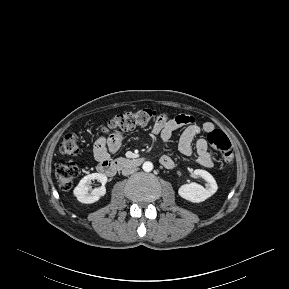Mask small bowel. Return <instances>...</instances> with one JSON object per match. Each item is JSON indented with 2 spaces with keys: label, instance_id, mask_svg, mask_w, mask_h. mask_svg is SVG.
Returning <instances> with one entry per match:
<instances>
[{
  "label": "small bowel",
  "instance_id": "1",
  "mask_svg": "<svg viewBox=\"0 0 289 289\" xmlns=\"http://www.w3.org/2000/svg\"><path fill=\"white\" fill-rule=\"evenodd\" d=\"M181 127H185V129L178 142L179 151L186 156H193L196 163L203 167H212L213 159L208 151V141L205 137L198 138L200 134L208 135L215 130L212 122H205L199 125L193 116L166 114L156 120L152 127V133L159 135L163 145L167 148L174 131ZM122 141L123 134L121 132L115 133L108 138H99L93 146L95 159L98 162L108 159L110 153H115L119 150ZM160 162L168 169L173 168L175 165L170 153L164 154Z\"/></svg>",
  "mask_w": 289,
  "mask_h": 289
}]
</instances>
